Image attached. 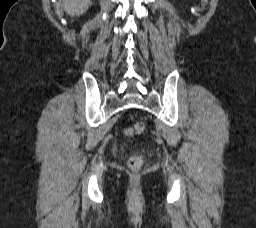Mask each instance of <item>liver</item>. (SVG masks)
<instances>
[{"label": "liver", "instance_id": "obj_1", "mask_svg": "<svg viewBox=\"0 0 256 228\" xmlns=\"http://www.w3.org/2000/svg\"><path fill=\"white\" fill-rule=\"evenodd\" d=\"M63 6L70 16H80L91 6V0H63Z\"/></svg>", "mask_w": 256, "mask_h": 228}]
</instances>
